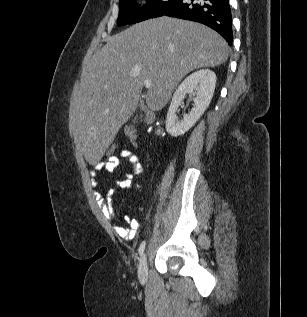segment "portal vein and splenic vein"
<instances>
[{
    "label": "portal vein and splenic vein",
    "mask_w": 307,
    "mask_h": 317,
    "mask_svg": "<svg viewBox=\"0 0 307 317\" xmlns=\"http://www.w3.org/2000/svg\"><path fill=\"white\" fill-rule=\"evenodd\" d=\"M144 86H145L146 88H150V87H151V81H150V80H145V81H144Z\"/></svg>",
    "instance_id": "18ae733b"
}]
</instances>
